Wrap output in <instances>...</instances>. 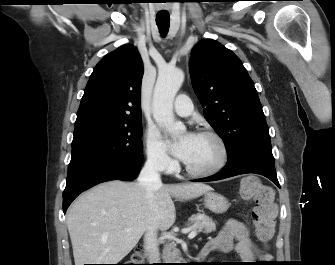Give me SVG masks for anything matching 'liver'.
<instances>
[{
	"label": "liver",
	"mask_w": 335,
	"mask_h": 265,
	"mask_svg": "<svg viewBox=\"0 0 335 265\" xmlns=\"http://www.w3.org/2000/svg\"><path fill=\"white\" fill-rule=\"evenodd\" d=\"M210 190L202 183L161 185L150 199L137 182L114 180L93 187L67 213L75 265L117 264L149 226L167 230L174 224L172 197L189 200Z\"/></svg>",
	"instance_id": "liver-1"
}]
</instances>
